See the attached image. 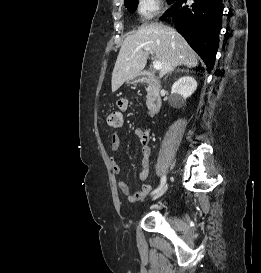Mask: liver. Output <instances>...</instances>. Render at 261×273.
<instances>
[{
	"label": "liver",
	"mask_w": 261,
	"mask_h": 273,
	"mask_svg": "<svg viewBox=\"0 0 261 273\" xmlns=\"http://www.w3.org/2000/svg\"><path fill=\"white\" fill-rule=\"evenodd\" d=\"M145 47L150 48L162 64L160 76L179 65L189 68L198 65L196 53L176 30L161 23L143 25L126 37L121 46L112 73V92L142 73L149 56Z\"/></svg>",
	"instance_id": "liver-1"
}]
</instances>
